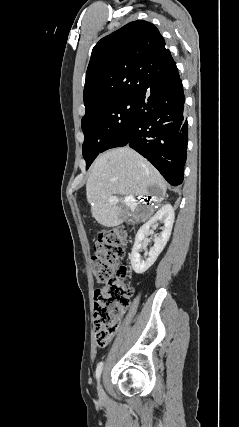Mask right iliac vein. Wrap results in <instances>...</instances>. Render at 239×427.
<instances>
[{"instance_id": "obj_1", "label": "right iliac vein", "mask_w": 239, "mask_h": 427, "mask_svg": "<svg viewBox=\"0 0 239 427\" xmlns=\"http://www.w3.org/2000/svg\"><path fill=\"white\" fill-rule=\"evenodd\" d=\"M98 394H99V396L102 398L103 397V395H104V392H103V389H102V385H101V383L99 382L98 383Z\"/></svg>"}]
</instances>
